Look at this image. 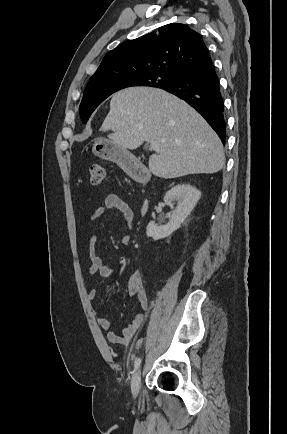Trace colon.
Here are the masks:
<instances>
[{
	"label": "colon",
	"instance_id": "obj_1",
	"mask_svg": "<svg viewBox=\"0 0 287 434\" xmlns=\"http://www.w3.org/2000/svg\"><path fill=\"white\" fill-rule=\"evenodd\" d=\"M107 175L106 167L99 164H94L90 167V180L93 185L100 184L105 180Z\"/></svg>",
	"mask_w": 287,
	"mask_h": 434
}]
</instances>
